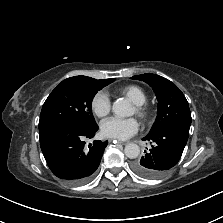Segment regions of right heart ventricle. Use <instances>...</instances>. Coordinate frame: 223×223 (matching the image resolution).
Listing matches in <instances>:
<instances>
[{"mask_svg": "<svg viewBox=\"0 0 223 223\" xmlns=\"http://www.w3.org/2000/svg\"><path fill=\"white\" fill-rule=\"evenodd\" d=\"M116 92L127 97L133 104H142L147 100L145 90L135 84L119 87Z\"/></svg>", "mask_w": 223, "mask_h": 223, "instance_id": "right-heart-ventricle-1", "label": "right heart ventricle"}]
</instances>
